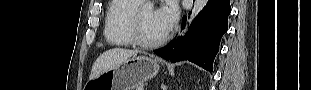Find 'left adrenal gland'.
I'll use <instances>...</instances> for the list:
<instances>
[{"label": "left adrenal gland", "instance_id": "left-adrenal-gland-1", "mask_svg": "<svg viewBox=\"0 0 311 90\" xmlns=\"http://www.w3.org/2000/svg\"><path fill=\"white\" fill-rule=\"evenodd\" d=\"M161 87H162V90H167V86L162 84Z\"/></svg>", "mask_w": 311, "mask_h": 90}]
</instances>
